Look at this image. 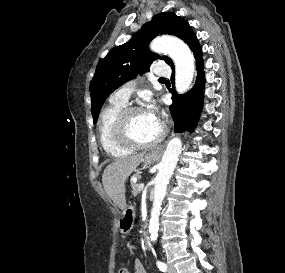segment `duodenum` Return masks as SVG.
Returning a JSON list of instances; mask_svg holds the SVG:
<instances>
[{"mask_svg": "<svg viewBox=\"0 0 285 273\" xmlns=\"http://www.w3.org/2000/svg\"><path fill=\"white\" fill-rule=\"evenodd\" d=\"M144 245L146 248L150 247V236L147 232L144 234Z\"/></svg>", "mask_w": 285, "mask_h": 273, "instance_id": "obj_1", "label": "duodenum"}]
</instances>
